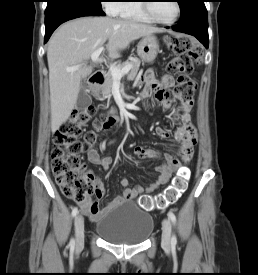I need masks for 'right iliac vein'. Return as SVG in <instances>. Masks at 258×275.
<instances>
[{"mask_svg": "<svg viewBox=\"0 0 258 275\" xmlns=\"http://www.w3.org/2000/svg\"><path fill=\"white\" fill-rule=\"evenodd\" d=\"M75 236H76V248L79 249L84 244V218L81 214L75 217Z\"/></svg>", "mask_w": 258, "mask_h": 275, "instance_id": "1", "label": "right iliac vein"}]
</instances>
